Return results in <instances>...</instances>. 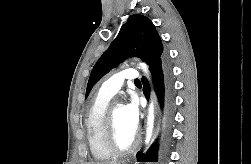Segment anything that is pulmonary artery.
<instances>
[{
    "label": "pulmonary artery",
    "instance_id": "1",
    "mask_svg": "<svg viewBox=\"0 0 251 164\" xmlns=\"http://www.w3.org/2000/svg\"><path fill=\"white\" fill-rule=\"evenodd\" d=\"M136 79H139L137 70L125 69L106 80L100 88V93L112 97L120 90L125 81H135Z\"/></svg>",
    "mask_w": 251,
    "mask_h": 164
}]
</instances>
